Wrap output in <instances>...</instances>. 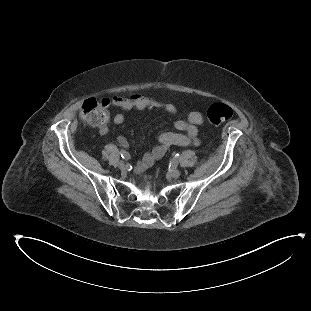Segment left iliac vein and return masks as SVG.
Returning <instances> with one entry per match:
<instances>
[{
    "label": "left iliac vein",
    "instance_id": "obj_1",
    "mask_svg": "<svg viewBox=\"0 0 311 311\" xmlns=\"http://www.w3.org/2000/svg\"><path fill=\"white\" fill-rule=\"evenodd\" d=\"M170 176L172 178H178L180 176V171L178 169H172L170 171Z\"/></svg>",
    "mask_w": 311,
    "mask_h": 311
}]
</instances>
